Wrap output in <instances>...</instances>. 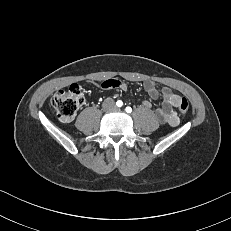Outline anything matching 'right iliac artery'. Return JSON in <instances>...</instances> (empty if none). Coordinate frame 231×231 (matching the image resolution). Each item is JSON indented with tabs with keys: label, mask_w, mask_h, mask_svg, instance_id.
Returning a JSON list of instances; mask_svg holds the SVG:
<instances>
[{
	"label": "right iliac artery",
	"mask_w": 231,
	"mask_h": 231,
	"mask_svg": "<svg viewBox=\"0 0 231 231\" xmlns=\"http://www.w3.org/2000/svg\"><path fill=\"white\" fill-rule=\"evenodd\" d=\"M116 105H117L118 107H121V106L123 105V103H122V101L119 100V101L116 102Z\"/></svg>",
	"instance_id": "right-iliac-artery-1"
}]
</instances>
